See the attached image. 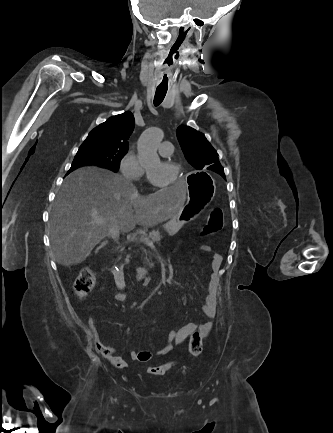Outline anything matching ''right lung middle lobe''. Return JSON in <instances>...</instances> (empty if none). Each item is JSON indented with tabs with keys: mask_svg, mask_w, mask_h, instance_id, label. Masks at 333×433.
I'll use <instances>...</instances> for the list:
<instances>
[{
	"mask_svg": "<svg viewBox=\"0 0 333 433\" xmlns=\"http://www.w3.org/2000/svg\"><path fill=\"white\" fill-rule=\"evenodd\" d=\"M127 151L84 142L80 146L72 165H98L116 172L121 159Z\"/></svg>",
	"mask_w": 333,
	"mask_h": 433,
	"instance_id": "1",
	"label": "right lung middle lobe"
}]
</instances>
